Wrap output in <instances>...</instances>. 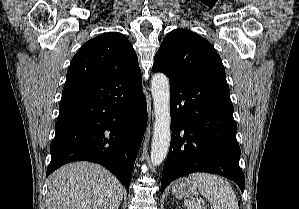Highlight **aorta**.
I'll use <instances>...</instances> for the list:
<instances>
[{"label": "aorta", "mask_w": 299, "mask_h": 209, "mask_svg": "<svg viewBox=\"0 0 299 209\" xmlns=\"http://www.w3.org/2000/svg\"><path fill=\"white\" fill-rule=\"evenodd\" d=\"M155 123L151 144V163L160 165L166 158L171 141L170 90L168 77L155 73L151 80Z\"/></svg>", "instance_id": "aorta-1"}]
</instances>
